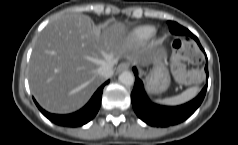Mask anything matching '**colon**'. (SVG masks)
Instances as JSON below:
<instances>
[{"label": "colon", "mask_w": 238, "mask_h": 145, "mask_svg": "<svg viewBox=\"0 0 238 145\" xmlns=\"http://www.w3.org/2000/svg\"><path fill=\"white\" fill-rule=\"evenodd\" d=\"M201 55L192 40H177L173 43V56L171 60V73L177 81L183 84H193L201 79L198 70H187L185 63H199Z\"/></svg>", "instance_id": "5ec220e1"}]
</instances>
